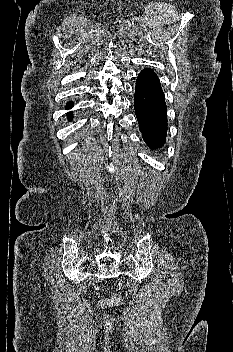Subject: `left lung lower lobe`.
I'll use <instances>...</instances> for the list:
<instances>
[{
	"label": "left lung lower lobe",
	"instance_id": "0a47b994",
	"mask_svg": "<svg viewBox=\"0 0 233 352\" xmlns=\"http://www.w3.org/2000/svg\"><path fill=\"white\" fill-rule=\"evenodd\" d=\"M134 108L146 144L155 150L161 148L167 132V108L160 81L151 68L137 77Z\"/></svg>",
	"mask_w": 233,
	"mask_h": 352
}]
</instances>
